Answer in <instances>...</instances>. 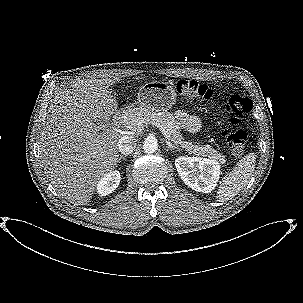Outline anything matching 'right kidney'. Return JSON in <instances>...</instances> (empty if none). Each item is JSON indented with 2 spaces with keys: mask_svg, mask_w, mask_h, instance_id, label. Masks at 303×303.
Segmentation results:
<instances>
[{
  "mask_svg": "<svg viewBox=\"0 0 303 303\" xmlns=\"http://www.w3.org/2000/svg\"><path fill=\"white\" fill-rule=\"evenodd\" d=\"M119 171H113L106 174L97 184V193L100 196H106L112 193L120 183Z\"/></svg>",
  "mask_w": 303,
  "mask_h": 303,
  "instance_id": "right-kidney-1",
  "label": "right kidney"
}]
</instances>
